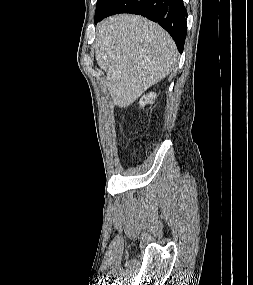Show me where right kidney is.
I'll list each match as a JSON object with an SVG mask.
<instances>
[{
	"mask_svg": "<svg viewBox=\"0 0 253 285\" xmlns=\"http://www.w3.org/2000/svg\"><path fill=\"white\" fill-rule=\"evenodd\" d=\"M156 98V94L154 92H151L147 95H144L139 102L140 107H144L147 104H153L154 100Z\"/></svg>",
	"mask_w": 253,
	"mask_h": 285,
	"instance_id": "right-kidney-1",
	"label": "right kidney"
}]
</instances>
